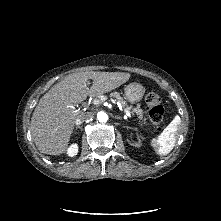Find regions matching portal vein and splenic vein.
Wrapping results in <instances>:
<instances>
[{
  "label": "portal vein and splenic vein",
  "instance_id": "1",
  "mask_svg": "<svg viewBox=\"0 0 221 221\" xmlns=\"http://www.w3.org/2000/svg\"><path fill=\"white\" fill-rule=\"evenodd\" d=\"M105 100H106V98L101 97V98L95 99V100L93 101V104H94V105H98V104L102 103V102L105 101ZM110 101H111L112 103L116 104V101H115L114 99H110ZM125 114H126V117H131L130 111L125 110Z\"/></svg>",
  "mask_w": 221,
  "mask_h": 221
}]
</instances>
